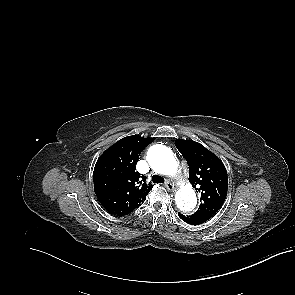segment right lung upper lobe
Masks as SVG:
<instances>
[{
	"label": "right lung upper lobe",
	"instance_id": "cb5924a9",
	"mask_svg": "<svg viewBox=\"0 0 295 295\" xmlns=\"http://www.w3.org/2000/svg\"><path fill=\"white\" fill-rule=\"evenodd\" d=\"M155 138L139 135L122 138L97 160L93 181L95 194L111 214L131 213L146 198L153 185L136 171L141 151Z\"/></svg>",
	"mask_w": 295,
	"mask_h": 295
}]
</instances>
